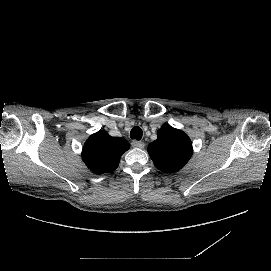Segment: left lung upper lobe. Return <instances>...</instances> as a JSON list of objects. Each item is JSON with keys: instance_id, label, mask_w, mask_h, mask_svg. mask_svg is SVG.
Instances as JSON below:
<instances>
[{"instance_id": "left-lung-upper-lobe-1", "label": "left lung upper lobe", "mask_w": 271, "mask_h": 271, "mask_svg": "<svg viewBox=\"0 0 271 271\" xmlns=\"http://www.w3.org/2000/svg\"><path fill=\"white\" fill-rule=\"evenodd\" d=\"M158 138L148 146V153L157 169L175 173L185 166L192 156L190 138L168 124L158 130Z\"/></svg>"}]
</instances>
